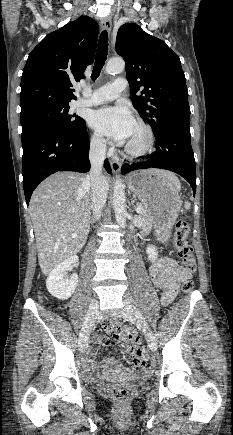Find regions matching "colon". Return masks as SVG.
I'll return each instance as SVG.
<instances>
[{
    "instance_id": "obj_1",
    "label": "colon",
    "mask_w": 233,
    "mask_h": 435,
    "mask_svg": "<svg viewBox=\"0 0 233 435\" xmlns=\"http://www.w3.org/2000/svg\"><path fill=\"white\" fill-rule=\"evenodd\" d=\"M189 232L190 227L186 221L178 220L176 222L175 244L177 253L185 269L188 272L193 273L196 270V263L192 246L188 242ZM182 291L184 294H190L193 291L192 280L187 279L182 282ZM125 347L135 353H139L140 355H146V351L142 350L130 337L126 340ZM102 391L118 405L126 403L130 396V392L127 388L119 386H104Z\"/></svg>"
}]
</instances>
